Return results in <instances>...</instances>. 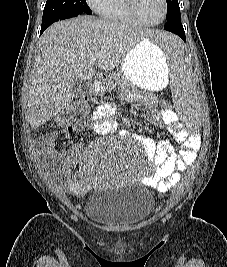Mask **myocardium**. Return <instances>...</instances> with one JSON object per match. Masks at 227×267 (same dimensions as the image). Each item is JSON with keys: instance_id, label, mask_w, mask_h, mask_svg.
<instances>
[{"instance_id": "1", "label": "myocardium", "mask_w": 227, "mask_h": 267, "mask_svg": "<svg viewBox=\"0 0 227 267\" xmlns=\"http://www.w3.org/2000/svg\"><path fill=\"white\" fill-rule=\"evenodd\" d=\"M161 2L163 5V15L161 19L157 22H148L141 16V14L138 11V7H137L138 0H126V6L129 12L131 13V15L136 20H138L141 24L147 25V26H156V25L161 24L165 20V18L167 17V13H168L167 0H161Z\"/></svg>"}]
</instances>
